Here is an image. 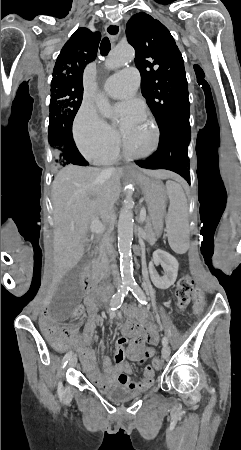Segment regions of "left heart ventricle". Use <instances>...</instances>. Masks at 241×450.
Instances as JSON below:
<instances>
[{
  "instance_id": "obj_1",
  "label": "left heart ventricle",
  "mask_w": 241,
  "mask_h": 450,
  "mask_svg": "<svg viewBox=\"0 0 241 450\" xmlns=\"http://www.w3.org/2000/svg\"><path fill=\"white\" fill-rule=\"evenodd\" d=\"M153 122L148 115H143L137 122H129L123 128L127 146L124 151L130 157L138 159L139 153H146L148 141L152 138L153 127L149 123Z\"/></svg>"
}]
</instances>
